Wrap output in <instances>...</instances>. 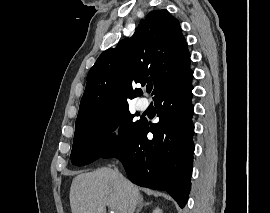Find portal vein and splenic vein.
<instances>
[{
  "mask_svg": "<svg viewBox=\"0 0 270 213\" xmlns=\"http://www.w3.org/2000/svg\"><path fill=\"white\" fill-rule=\"evenodd\" d=\"M110 213H116L115 211L111 210Z\"/></svg>",
  "mask_w": 270,
  "mask_h": 213,
  "instance_id": "18ae733b",
  "label": "portal vein and splenic vein"
}]
</instances>
